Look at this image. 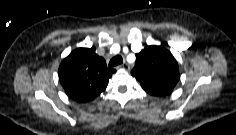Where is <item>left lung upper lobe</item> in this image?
<instances>
[{
  "label": "left lung upper lobe",
  "mask_w": 236,
  "mask_h": 135,
  "mask_svg": "<svg viewBox=\"0 0 236 135\" xmlns=\"http://www.w3.org/2000/svg\"><path fill=\"white\" fill-rule=\"evenodd\" d=\"M131 74L147 93L157 97L170 94L180 78L176 59L161 46H146L137 53Z\"/></svg>",
  "instance_id": "1"
}]
</instances>
